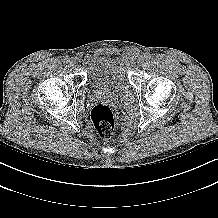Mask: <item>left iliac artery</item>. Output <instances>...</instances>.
<instances>
[{"label":"left iliac artery","mask_w":218,"mask_h":218,"mask_svg":"<svg viewBox=\"0 0 218 218\" xmlns=\"http://www.w3.org/2000/svg\"><path fill=\"white\" fill-rule=\"evenodd\" d=\"M151 54L150 53H144V58L146 59V60H149V59H151Z\"/></svg>","instance_id":"44dca946"}]
</instances>
